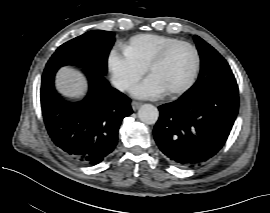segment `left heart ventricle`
<instances>
[{"instance_id":"obj_1","label":"left heart ventricle","mask_w":270,"mask_h":213,"mask_svg":"<svg viewBox=\"0 0 270 213\" xmlns=\"http://www.w3.org/2000/svg\"><path fill=\"white\" fill-rule=\"evenodd\" d=\"M196 62L193 50L188 46H179L151 72L164 91L182 87L192 74Z\"/></svg>"}]
</instances>
